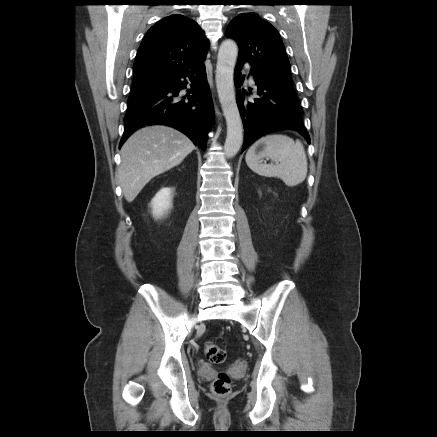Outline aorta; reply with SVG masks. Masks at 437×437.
<instances>
[{
	"label": "aorta",
	"instance_id": "762f6f07",
	"mask_svg": "<svg viewBox=\"0 0 437 437\" xmlns=\"http://www.w3.org/2000/svg\"><path fill=\"white\" fill-rule=\"evenodd\" d=\"M237 55L236 43L230 39L223 41L218 52L215 76L219 101L227 124L224 152L228 158L234 157L243 143V124L234 91Z\"/></svg>",
	"mask_w": 437,
	"mask_h": 437
}]
</instances>
